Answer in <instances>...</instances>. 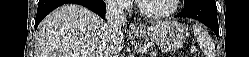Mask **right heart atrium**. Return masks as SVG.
I'll use <instances>...</instances> for the list:
<instances>
[{"instance_id":"right-heart-atrium-1","label":"right heart atrium","mask_w":249,"mask_h":57,"mask_svg":"<svg viewBox=\"0 0 249 57\" xmlns=\"http://www.w3.org/2000/svg\"><path fill=\"white\" fill-rule=\"evenodd\" d=\"M108 7L115 11H127L130 9V2L127 0L106 1Z\"/></svg>"}]
</instances>
